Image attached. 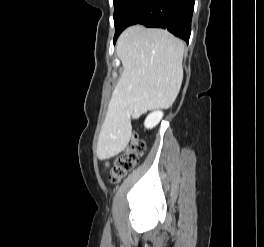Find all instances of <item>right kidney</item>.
Returning a JSON list of instances; mask_svg holds the SVG:
<instances>
[{"label":"right kidney","instance_id":"1","mask_svg":"<svg viewBox=\"0 0 264 247\" xmlns=\"http://www.w3.org/2000/svg\"><path fill=\"white\" fill-rule=\"evenodd\" d=\"M162 117H163L162 111L157 110L150 113L144 122L145 127L147 129H152L161 121Z\"/></svg>","mask_w":264,"mask_h":247}]
</instances>
